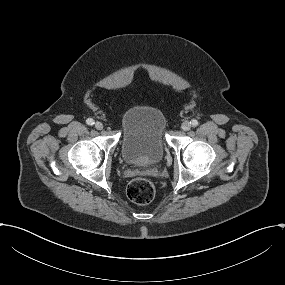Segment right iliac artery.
I'll use <instances>...</instances> for the list:
<instances>
[{"instance_id": "82829eb1", "label": "right iliac artery", "mask_w": 285, "mask_h": 285, "mask_svg": "<svg viewBox=\"0 0 285 285\" xmlns=\"http://www.w3.org/2000/svg\"><path fill=\"white\" fill-rule=\"evenodd\" d=\"M86 123H87L88 125H93V124H94V120H93L92 118H88V119L86 120Z\"/></svg>"}]
</instances>
